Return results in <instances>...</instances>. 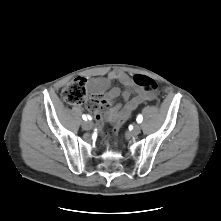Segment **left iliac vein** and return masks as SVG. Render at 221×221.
Listing matches in <instances>:
<instances>
[{"instance_id":"left-iliac-vein-1","label":"left iliac vein","mask_w":221,"mask_h":221,"mask_svg":"<svg viewBox=\"0 0 221 221\" xmlns=\"http://www.w3.org/2000/svg\"><path fill=\"white\" fill-rule=\"evenodd\" d=\"M140 132H141V125H140V124H136V125L134 126L133 130L131 131V134H132L133 136H137V135L140 134Z\"/></svg>"}]
</instances>
